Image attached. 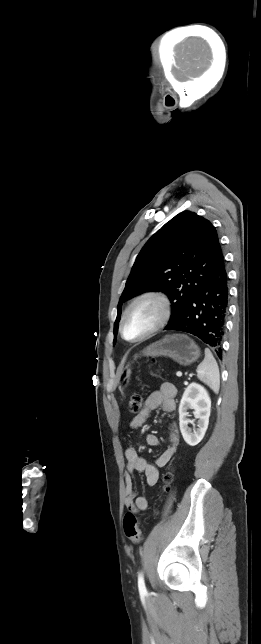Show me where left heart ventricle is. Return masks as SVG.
Wrapping results in <instances>:
<instances>
[{
    "label": "left heart ventricle",
    "instance_id": "1",
    "mask_svg": "<svg viewBox=\"0 0 261 644\" xmlns=\"http://www.w3.org/2000/svg\"><path fill=\"white\" fill-rule=\"evenodd\" d=\"M159 316L160 307L156 302L152 300L139 302L127 317L125 336L128 339L140 337L155 325Z\"/></svg>",
    "mask_w": 261,
    "mask_h": 644
}]
</instances>
